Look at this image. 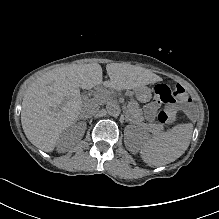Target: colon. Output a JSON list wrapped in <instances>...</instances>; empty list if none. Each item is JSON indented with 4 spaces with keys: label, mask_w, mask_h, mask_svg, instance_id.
<instances>
[{
    "label": "colon",
    "mask_w": 219,
    "mask_h": 219,
    "mask_svg": "<svg viewBox=\"0 0 219 219\" xmlns=\"http://www.w3.org/2000/svg\"><path fill=\"white\" fill-rule=\"evenodd\" d=\"M173 99L167 103V106L159 112L158 121L167 126L174 122L176 117V108H175V100L184 101L187 100V94L185 89L181 85H176L174 91L172 92Z\"/></svg>",
    "instance_id": "colon-1"
}]
</instances>
